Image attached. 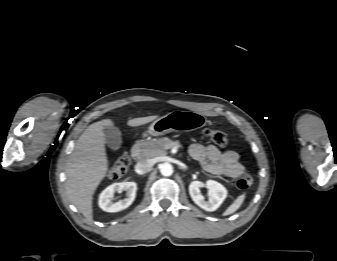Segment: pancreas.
<instances>
[{"instance_id":"pancreas-1","label":"pancreas","mask_w":337,"mask_h":261,"mask_svg":"<svg viewBox=\"0 0 337 261\" xmlns=\"http://www.w3.org/2000/svg\"><path fill=\"white\" fill-rule=\"evenodd\" d=\"M178 141H172L169 138L163 137L159 139L144 140L139 142L140 157L154 158L166 155L167 145L178 144Z\"/></svg>"}]
</instances>
